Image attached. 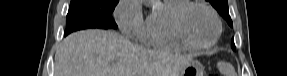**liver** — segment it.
I'll use <instances>...</instances> for the list:
<instances>
[{
  "mask_svg": "<svg viewBox=\"0 0 287 76\" xmlns=\"http://www.w3.org/2000/svg\"><path fill=\"white\" fill-rule=\"evenodd\" d=\"M190 55L148 50L113 31L67 36L55 54V76H180Z\"/></svg>",
  "mask_w": 287,
  "mask_h": 76,
  "instance_id": "liver-1",
  "label": "liver"
}]
</instances>
